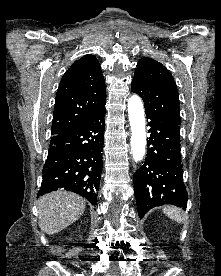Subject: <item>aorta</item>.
<instances>
[{
  "instance_id": "1",
  "label": "aorta",
  "mask_w": 221,
  "mask_h": 276,
  "mask_svg": "<svg viewBox=\"0 0 221 276\" xmlns=\"http://www.w3.org/2000/svg\"><path fill=\"white\" fill-rule=\"evenodd\" d=\"M128 114L132 131L131 147L135 162L141 161L145 155L146 132L143 104L139 96L128 99Z\"/></svg>"
}]
</instances>
